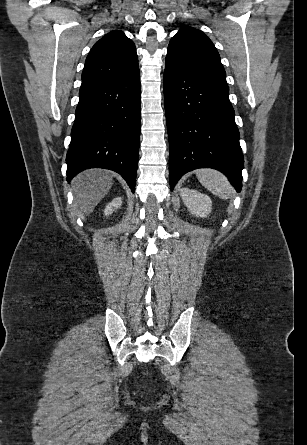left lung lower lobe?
<instances>
[{
    "instance_id": "obj_1",
    "label": "left lung lower lobe",
    "mask_w": 307,
    "mask_h": 445,
    "mask_svg": "<svg viewBox=\"0 0 307 445\" xmlns=\"http://www.w3.org/2000/svg\"><path fill=\"white\" fill-rule=\"evenodd\" d=\"M164 99L171 190L186 172L210 167L223 172L240 192L244 159L229 90L166 58Z\"/></svg>"
}]
</instances>
